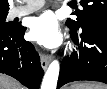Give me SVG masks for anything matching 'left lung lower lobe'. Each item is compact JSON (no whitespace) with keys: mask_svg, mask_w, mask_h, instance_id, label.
<instances>
[{"mask_svg":"<svg viewBox=\"0 0 107 89\" xmlns=\"http://www.w3.org/2000/svg\"><path fill=\"white\" fill-rule=\"evenodd\" d=\"M71 29L77 51L63 59L57 88L78 80L107 84V21H92Z\"/></svg>","mask_w":107,"mask_h":89,"instance_id":"1","label":"left lung lower lobe"}]
</instances>
